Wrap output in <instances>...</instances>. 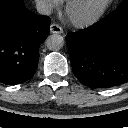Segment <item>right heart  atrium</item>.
<instances>
[{
  "mask_svg": "<svg viewBox=\"0 0 128 128\" xmlns=\"http://www.w3.org/2000/svg\"><path fill=\"white\" fill-rule=\"evenodd\" d=\"M37 2L46 11L57 9L61 5V0H37Z\"/></svg>",
  "mask_w": 128,
  "mask_h": 128,
  "instance_id": "obj_1",
  "label": "right heart atrium"
}]
</instances>
